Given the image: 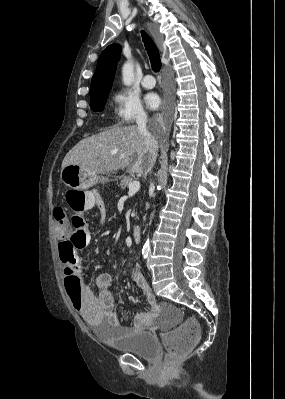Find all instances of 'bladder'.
Masks as SVG:
<instances>
[{
    "label": "bladder",
    "mask_w": 285,
    "mask_h": 399,
    "mask_svg": "<svg viewBox=\"0 0 285 399\" xmlns=\"http://www.w3.org/2000/svg\"><path fill=\"white\" fill-rule=\"evenodd\" d=\"M92 330L98 335H104L100 322H90ZM106 341L118 350L136 355L144 359H155L159 354V344L155 336L150 332L131 331L124 337H110Z\"/></svg>",
    "instance_id": "obj_1"
}]
</instances>
